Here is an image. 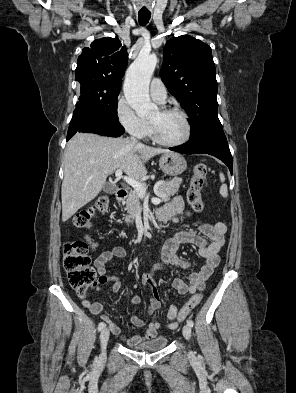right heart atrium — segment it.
<instances>
[{"mask_svg":"<svg viewBox=\"0 0 296 393\" xmlns=\"http://www.w3.org/2000/svg\"><path fill=\"white\" fill-rule=\"evenodd\" d=\"M116 117L123 128L133 137L143 139L150 133V125L135 112L123 97L119 98L115 107Z\"/></svg>","mask_w":296,"mask_h":393,"instance_id":"right-heart-atrium-1","label":"right heart atrium"}]
</instances>
